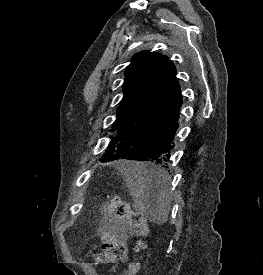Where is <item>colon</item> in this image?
Listing matches in <instances>:
<instances>
[{
	"mask_svg": "<svg viewBox=\"0 0 263 275\" xmlns=\"http://www.w3.org/2000/svg\"><path fill=\"white\" fill-rule=\"evenodd\" d=\"M107 206L113 217L120 223L127 226L132 232L140 237L134 246V250L139 254V260L129 265L125 275H135L140 271V259L147 247L146 237L149 234V227L143 215L122 201L118 196H110ZM102 252L94 258L93 264L96 266H115L126 257V246L123 240L110 232H104L101 237Z\"/></svg>",
	"mask_w": 263,
	"mask_h": 275,
	"instance_id": "obj_1",
	"label": "colon"
}]
</instances>
